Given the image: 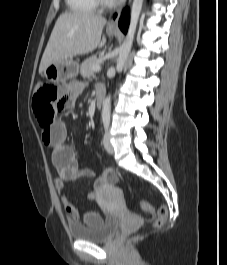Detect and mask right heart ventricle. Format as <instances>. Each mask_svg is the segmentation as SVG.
Segmentation results:
<instances>
[{
  "instance_id": "obj_1",
  "label": "right heart ventricle",
  "mask_w": 227,
  "mask_h": 265,
  "mask_svg": "<svg viewBox=\"0 0 227 265\" xmlns=\"http://www.w3.org/2000/svg\"><path fill=\"white\" fill-rule=\"evenodd\" d=\"M68 9L75 14L92 13L97 9L95 0H65Z\"/></svg>"
}]
</instances>
